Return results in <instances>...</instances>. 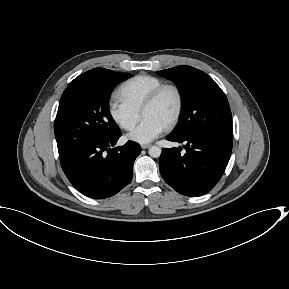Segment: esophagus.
Returning a JSON list of instances; mask_svg holds the SVG:
<instances>
[{"label":"esophagus","instance_id":"34e87169","mask_svg":"<svg viewBox=\"0 0 289 289\" xmlns=\"http://www.w3.org/2000/svg\"><path fill=\"white\" fill-rule=\"evenodd\" d=\"M151 147V144H142L141 145V148L142 149H148V148H150Z\"/></svg>","mask_w":289,"mask_h":289}]
</instances>
